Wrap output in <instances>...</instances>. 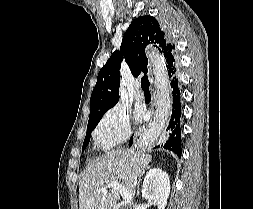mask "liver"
<instances>
[{
  "label": "liver",
  "instance_id": "1",
  "mask_svg": "<svg viewBox=\"0 0 253 209\" xmlns=\"http://www.w3.org/2000/svg\"><path fill=\"white\" fill-rule=\"evenodd\" d=\"M151 160L149 154L134 150H113L98 158L87 168L79 184V209H118V190H98L110 182L121 181L135 196L137 178L142 176Z\"/></svg>",
  "mask_w": 253,
  "mask_h": 209
}]
</instances>
